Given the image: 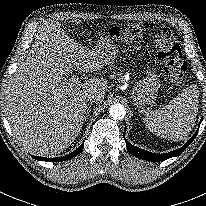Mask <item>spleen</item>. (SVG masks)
<instances>
[{
	"instance_id": "obj_1",
	"label": "spleen",
	"mask_w": 206,
	"mask_h": 206,
	"mask_svg": "<svg viewBox=\"0 0 206 206\" xmlns=\"http://www.w3.org/2000/svg\"><path fill=\"white\" fill-rule=\"evenodd\" d=\"M199 92L195 84L183 89L166 106L147 112L145 126L156 136L178 141L185 140L195 125Z\"/></svg>"
}]
</instances>
